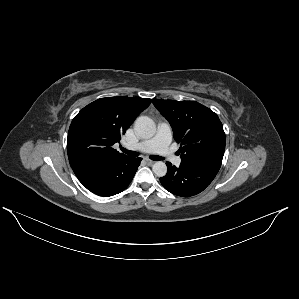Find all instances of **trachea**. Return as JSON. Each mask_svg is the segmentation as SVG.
Wrapping results in <instances>:
<instances>
[{
    "instance_id": "1",
    "label": "trachea",
    "mask_w": 299,
    "mask_h": 299,
    "mask_svg": "<svg viewBox=\"0 0 299 299\" xmlns=\"http://www.w3.org/2000/svg\"><path fill=\"white\" fill-rule=\"evenodd\" d=\"M121 150L126 153L127 155L131 156V157H138L139 156V153L138 152H135V151H129L125 148H121ZM150 159L151 160H154V161H159V160H163L164 158L163 157H160V156H157V155H153V156H150Z\"/></svg>"
}]
</instances>
